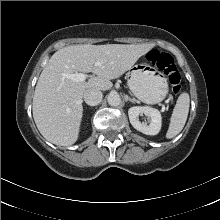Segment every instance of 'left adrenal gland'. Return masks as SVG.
I'll list each match as a JSON object with an SVG mask.
<instances>
[{
    "label": "left adrenal gland",
    "instance_id": "obj_1",
    "mask_svg": "<svg viewBox=\"0 0 220 220\" xmlns=\"http://www.w3.org/2000/svg\"><path fill=\"white\" fill-rule=\"evenodd\" d=\"M125 101H130L132 103H136L137 101L135 99L130 98L128 95L124 96Z\"/></svg>",
    "mask_w": 220,
    "mask_h": 220
}]
</instances>
